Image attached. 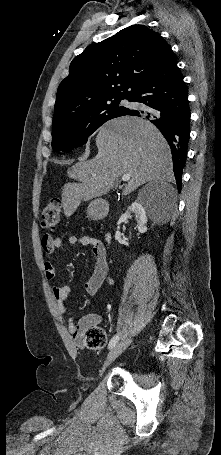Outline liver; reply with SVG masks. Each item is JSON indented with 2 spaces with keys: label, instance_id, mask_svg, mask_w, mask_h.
<instances>
[{
  "label": "liver",
  "instance_id": "1",
  "mask_svg": "<svg viewBox=\"0 0 221 455\" xmlns=\"http://www.w3.org/2000/svg\"><path fill=\"white\" fill-rule=\"evenodd\" d=\"M97 155L73 165L68 174L78 183H66L62 204L66 217L71 216L81 201L107 194L115 180L124 174L130 180L123 190L127 195L153 180H173L169 145L149 121L123 116L105 123L96 136Z\"/></svg>",
  "mask_w": 221,
  "mask_h": 455
}]
</instances>
